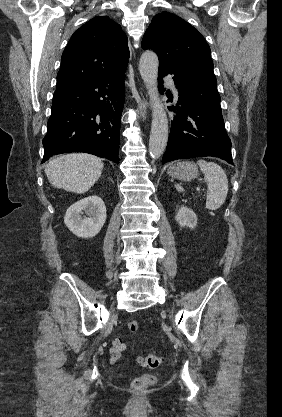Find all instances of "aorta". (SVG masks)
I'll return each instance as SVG.
<instances>
[{
  "instance_id": "aorta-1",
  "label": "aorta",
  "mask_w": 282,
  "mask_h": 417,
  "mask_svg": "<svg viewBox=\"0 0 282 417\" xmlns=\"http://www.w3.org/2000/svg\"><path fill=\"white\" fill-rule=\"evenodd\" d=\"M159 60L156 52L145 50L139 60L140 74L152 102V124L149 138V154L159 158L163 154L168 140V118L159 98L157 84Z\"/></svg>"
}]
</instances>
